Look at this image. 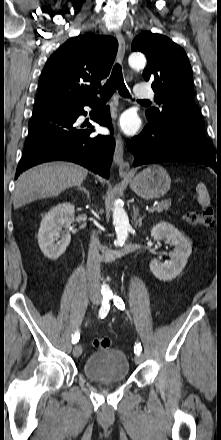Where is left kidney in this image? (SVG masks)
Masks as SVG:
<instances>
[{
	"instance_id": "left-kidney-1",
	"label": "left kidney",
	"mask_w": 221,
	"mask_h": 440,
	"mask_svg": "<svg viewBox=\"0 0 221 440\" xmlns=\"http://www.w3.org/2000/svg\"><path fill=\"white\" fill-rule=\"evenodd\" d=\"M151 237L155 241L166 239L175 246L174 252L170 255L169 262L161 263L157 259L151 261V272L162 281H170L176 278L184 269L192 252L191 242L177 228L165 221L153 226Z\"/></svg>"
}]
</instances>
